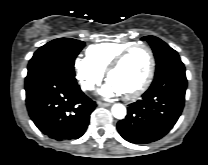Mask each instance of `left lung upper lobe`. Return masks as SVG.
<instances>
[{
    "mask_svg": "<svg viewBox=\"0 0 208 165\" xmlns=\"http://www.w3.org/2000/svg\"><path fill=\"white\" fill-rule=\"evenodd\" d=\"M142 40L148 41L152 47L156 59L155 74H158L171 66L183 64L178 53L161 39L155 36H145Z\"/></svg>",
    "mask_w": 208,
    "mask_h": 165,
    "instance_id": "obj_1",
    "label": "left lung upper lobe"
}]
</instances>
